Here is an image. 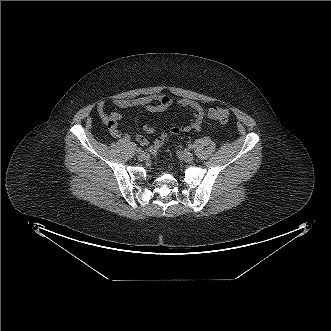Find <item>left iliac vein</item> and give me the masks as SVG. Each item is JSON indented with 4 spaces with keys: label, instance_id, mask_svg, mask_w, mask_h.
Listing matches in <instances>:
<instances>
[{
    "label": "left iliac vein",
    "instance_id": "1",
    "mask_svg": "<svg viewBox=\"0 0 331 331\" xmlns=\"http://www.w3.org/2000/svg\"><path fill=\"white\" fill-rule=\"evenodd\" d=\"M178 156L185 162H192L194 160V156L190 152H187V151L178 152Z\"/></svg>",
    "mask_w": 331,
    "mask_h": 331
}]
</instances>
